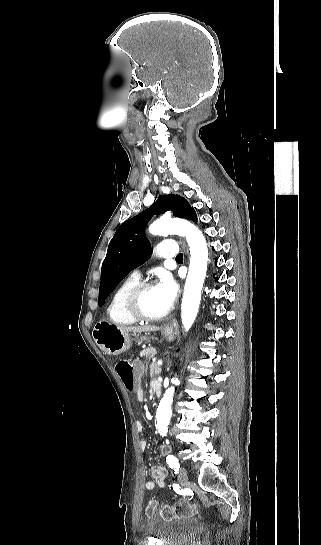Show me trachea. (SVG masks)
Returning a JSON list of instances; mask_svg holds the SVG:
<instances>
[{
    "label": "trachea",
    "instance_id": "3493384b",
    "mask_svg": "<svg viewBox=\"0 0 321 545\" xmlns=\"http://www.w3.org/2000/svg\"><path fill=\"white\" fill-rule=\"evenodd\" d=\"M183 260V255L182 253H179L177 256H176V261H181Z\"/></svg>",
    "mask_w": 321,
    "mask_h": 545
}]
</instances>
